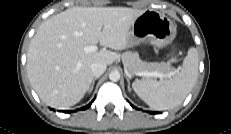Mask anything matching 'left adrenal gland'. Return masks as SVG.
<instances>
[{
    "mask_svg": "<svg viewBox=\"0 0 231 134\" xmlns=\"http://www.w3.org/2000/svg\"><path fill=\"white\" fill-rule=\"evenodd\" d=\"M126 80H127V83H128V91L130 92L131 89H130V79H129V77L126 76Z\"/></svg>",
    "mask_w": 231,
    "mask_h": 134,
    "instance_id": "obj_1",
    "label": "left adrenal gland"
}]
</instances>
